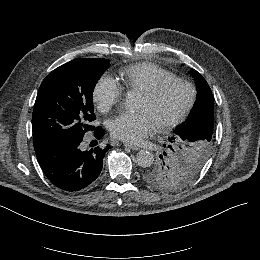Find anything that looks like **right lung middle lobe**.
I'll return each instance as SVG.
<instances>
[{
  "label": "right lung middle lobe",
  "mask_w": 260,
  "mask_h": 260,
  "mask_svg": "<svg viewBox=\"0 0 260 260\" xmlns=\"http://www.w3.org/2000/svg\"><path fill=\"white\" fill-rule=\"evenodd\" d=\"M110 66L107 59L77 58L53 70L42 82L33 111L34 148L82 140L93 130V90Z\"/></svg>",
  "instance_id": "obj_1"
}]
</instances>
